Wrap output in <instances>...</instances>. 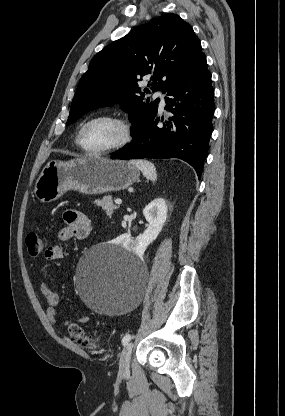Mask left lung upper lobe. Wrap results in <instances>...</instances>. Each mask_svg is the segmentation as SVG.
I'll return each instance as SVG.
<instances>
[{
	"label": "left lung upper lobe",
	"mask_w": 285,
	"mask_h": 416,
	"mask_svg": "<svg viewBox=\"0 0 285 416\" xmlns=\"http://www.w3.org/2000/svg\"><path fill=\"white\" fill-rule=\"evenodd\" d=\"M203 55L192 27L176 14H163L136 27L93 57L79 81L66 124L92 109L119 103L129 113L135 135L155 118L159 102L145 100L138 81L151 76L150 88L167 92ZM144 92L150 93L147 88Z\"/></svg>",
	"instance_id": "5c2ea615"
}]
</instances>
